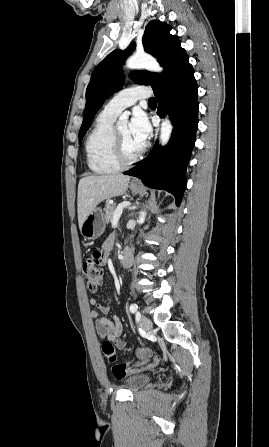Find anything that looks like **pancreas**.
<instances>
[{
	"instance_id": "pancreas-1",
	"label": "pancreas",
	"mask_w": 269,
	"mask_h": 447,
	"mask_svg": "<svg viewBox=\"0 0 269 447\" xmlns=\"http://www.w3.org/2000/svg\"><path fill=\"white\" fill-rule=\"evenodd\" d=\"M115 210H116V204H106L104 212L107 224H109V222H112Z\"/></svg>"
}]
</instances>
